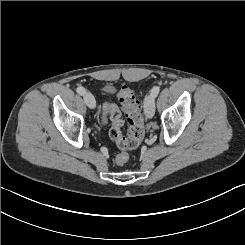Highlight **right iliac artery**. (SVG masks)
Here are the masks:
<instances>
[{
  "label": "right iliac artery",
  "instance_id": "right-iliac-artery-1",
  "mask_svg": "<svg viewBox=\"0 0 245 245\" xmlns=\"http://www.w3.org/2000/svg\"><path fill=\"white\" fill-rule=\"evenodd\" d=\"M77 93L80 95H84V93H86L85 89L83 87H78L76 89Z\"/></svg>",
  "mask_w": 245,
  "mask_h": 245
}]
</instances>
